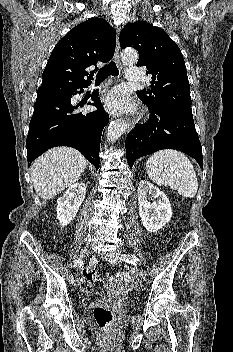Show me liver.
<instances>
[{
	"instance_id": "1",
	"label": "liver",
	"mask_w": 233,
	"mask_h": 352,
	"mask_svg": "<svg viewBox=\"0 0 233 352\" xmlns=\"http://www.w3.org/2000/svg\"><path fill=\"white\" fill-rule=\"evenodd\" d=\"M86 164L84 156L73 148L56 147L45 152L31 165L36 193L42 199H52L81 177Z\"/></svg>"
}]
</instances>
